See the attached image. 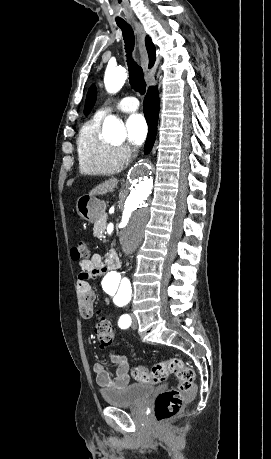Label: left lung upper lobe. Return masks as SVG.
<instances>
[{
    "instance_id": "left-lung-upper-lobe-1",
    "label": "left lung upper lobe",
    "mask_w": 271,
    "mask_h": 459,
    "mask_svg": "<svg viewBox=\"0 0 271 459\" xmlns=\"http://www.w3.org/2000/svg\"><path fill=\"white\" fill-rule=\"evenodd\" d=\"M95 101H96V87L95 85H92L86 97L84 114H87L92 109V107L95 104Z\"/></svg>"
}]
</instances>
